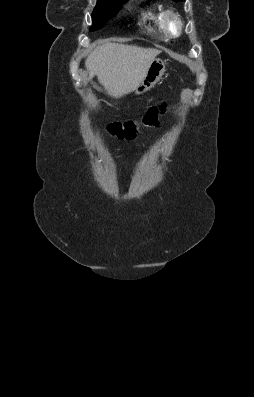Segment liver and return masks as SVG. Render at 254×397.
<instances>
[{"label":"liver","instance_id":"6515ba94","mask_svg":"<svg viewBox=\"0 0 254 397\" xmlns=\"http://www.w3.org/2000/svg\"><path fill=\"white\" fill-rule=\"evenodd\" d=\"M158 50L137 45L104 43L86 59L89 78L97 76L110 96L120 98L135 91Z\"/></svg>","mask_w":254,"mask_h":397}]
</instances>
